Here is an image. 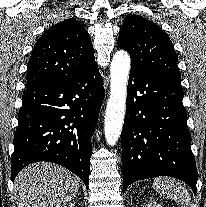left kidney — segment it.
<instances>
[{"instance_id": "obj_1", "label": "left kidney", "mask_w": 206, "mask_h": 207, "mask_svg": "<svg viewBox=\"0 0 206 207\" xmlns=\"http://www.w3.org/2000/svg\"><path fill=\"white\" fill-rule=\"evenodd\" d=\"M144 207H162L160 204L157 203L153 198H149L146 200Z\"/></svg>"}]
</instances>
